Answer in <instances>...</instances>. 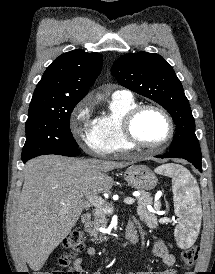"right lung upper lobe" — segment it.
<instances>
[{
    "instance_id": "cb5924a9",
    "label": "right lung upper lobe",
    "mask_w": 215,
    "mask_h": 274,
    "mask_svg": "<svg viewBox=\"0 0 215 274\" xmlns=\"http://www.w3.org/2000/svg\"><path fill=\"white\" fill-rule=\"evenodd\" d=\"M99 53L76 49L57 57L37 84L31 103L79 102L100 73Z\"/></svg>"
}]
</instances>
